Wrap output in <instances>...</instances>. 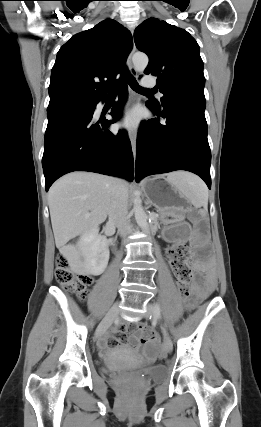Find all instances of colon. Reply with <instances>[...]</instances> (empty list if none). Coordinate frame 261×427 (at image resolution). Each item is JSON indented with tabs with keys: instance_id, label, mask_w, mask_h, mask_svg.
<instances>
[{
	"instance_id": "obj_1",
	"label": "colon",
	"mask_w": 261,
	"mask_h": 427,
	"mask_svg": "<svg viewBox=\"0 0 261 427\" xmlns=\"http://www.w3.org/2000/svg\"><path fill=\"white\" fill-rule=\"evenodd\" d=\"M188 248L185 244H176L167 251L172 271L177 279L179 289L184 298L188 297V286L192 280L191 270L188 266ZM56 280L67 291L77 294L84 299L87 296V290L92 284L93 279L86 274L75 272L69 260L64 255H59L56 260ZM141 325L138 331L141 335V341L148 342L153 340L154 334Z\"/></svg>"
}]
</instances>
